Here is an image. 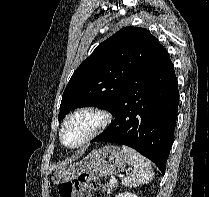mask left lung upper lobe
I'll use <instances>...</instances> for the list:
<instances>
[{
  "label": "left lung upper lobe",
  "mask_w": 209,
  "mask_h": 197,
  "mask_svg": "<svg viewBox=\"0 0 209 197\" xmlns=\"http://www.w3.org/2000/svg\"><path fill=\"white\" fill-rule=\"evenodd\" d=\"M163 48L146 29L129 26L116 32L74 71L62 96L59 120L84 106L113 112Z\"/></svg>",
  "instance_id": "obj_1"
}]
</instances>
